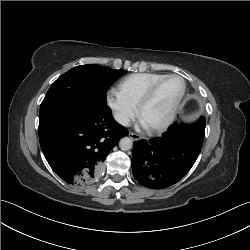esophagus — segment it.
<instances>
[{
	"instance_id": "obj_1",
	"label": "esophagus",
	"mask_w": 250,
	"mask_h": 250,
	"mask_svg": "<svg viewBox=\"0 0 250 250\" xmlns=\"http://www.w3.org/2000/svg\"><path fill=\"white\" fill-rule=\"evenodd\" d=\"M129 137L133 140V141H136V140H139L141 138L140 135L136 134V133H133V132H129Z\"/></svg>"
}]
</instances>
